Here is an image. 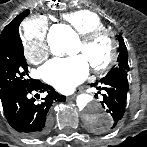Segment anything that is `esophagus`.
<instances>
[{
    "mask_svg": "<svg viewBox=\"0 0 147 147\" xmlns=\"http://www.w3.org/2000/svg\"><path fill=\"white\" fill-rule=\"evenodd\" d=\"M67 99L71 100V99H73V97H68Z\"/></svg>",
    "mask_w": 147,
    "mask_h": 147,
    "instance_id": "obj_1",
    "label": "esophagus"
}]
</instances>
